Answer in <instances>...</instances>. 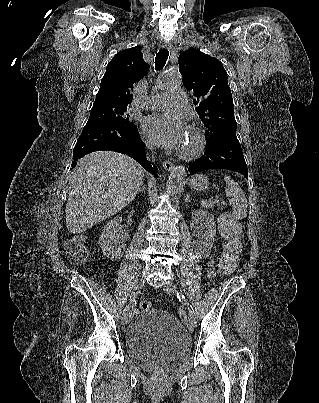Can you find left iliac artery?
<instances>
[{
	"instance_id": "1",
	"label": "left iliac artery",
	"mask_w": 319,
	"mask_h": 403,
	"mask_svg": "<svg viewBox=\"0 0 319 403\" xmlns=\"http://www.w3.org/2000/svg\"><path fill=\"white\" fill-rule=\"evenodd\" d=\"M177 297H178L180 302H184L185 304H187L190 319L196 324V317H195L194 310H193L192 306H190L189 303L187 302L185 296L182 293L177 292Z\"/></svg>"
}]
</instances>
